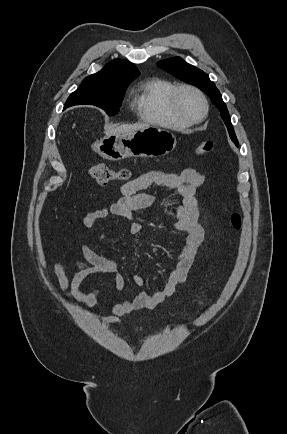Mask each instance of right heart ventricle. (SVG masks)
<instances>
[{
  "label": "right heart ventricle",
  "mask_w": 287,
  "mask_h": 434,
  "mask_svg": "<svg viewBox=\"0 0 287 434\" xmlns=\"http://www.w3.org/2000/svg\"><path fill=\"white\" fill-rule=\"evenodd\" d=\"M176 86L165 79L150 78L136 89L134 106L142 120L163 127H185L169 108V96Z\"/></svg>",
  "instance_id": "obj_1"
}]
</instances>
